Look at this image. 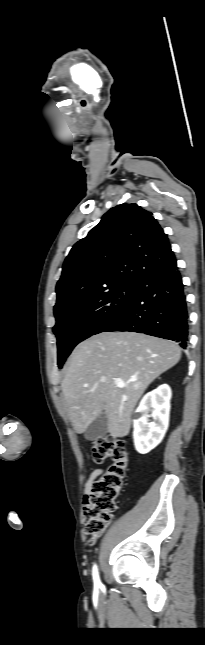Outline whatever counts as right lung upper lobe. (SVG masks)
Instances as JSON below:
<instances>
[{
	"label": "right lung upper lobe",
	"mask_w": 205,
	"mask_h": 645,
	"mask_svg": "<svg viewBox=\"0 0 205 645\" xmlns=\"http://www.w3.org/2000/svg\"><path fill=\"white\" fill-rule=\"evenodd\" d=\"M175 259L152 213L137 204L110 209L71 249L57 283L54 313L79 299L126 284Z\"/></svg>",
	"instance_id": "obj_1"
}]
</instances>
